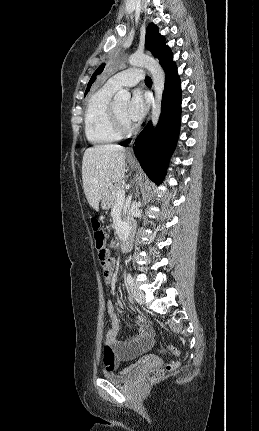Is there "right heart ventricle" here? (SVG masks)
<instances>
[{
    "instance_id": "right-heart-ventricle-1",
    "label": "right heart ventricle",
    "mask_w": 259,
    "mask_h": 431,
    "mask_svg": "<svg viewBox=\"0 0 259 431\" xmlns=\"http://www.w3.org/2000/svg\"><path fill=\"white\" fill-rule=\"evenodd\" d=\"M115 91L106 84L94 92L87 102L84 130L88 142L92 145H104L120 138L110 120L111 99Z\"/></svg>"
}]
</instances>
